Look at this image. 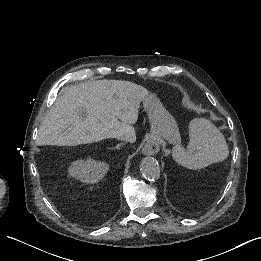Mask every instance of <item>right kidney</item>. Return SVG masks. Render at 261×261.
<instances>
[{"label": "right kidney", "instance_id": "obj_1", "mask_svg": "<svg viewBox=\"0 0 261 261\" xmlns=\"http://www.w3.org/2000/svg\"><path fill=\"white\" fill-rule=\"evenodd\" d=\"M109 166L104 162H96L92 159L75 161L69 169V174L75 179L88 183L99 182L108 171Z\"/></svg>", "mask_w": 261, "mask_h": 261}]
</instances>
